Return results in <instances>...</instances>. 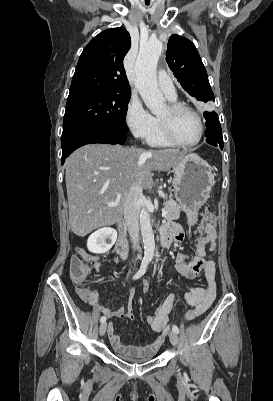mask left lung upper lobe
<instances>
[{
    "label": "left lung upper lobe",
    "mask_w": 273,
    "mask_h": 401,
    "mask_svg": "<svg viewBox=\"0 0 273 401\" xmlns=\"http://www.w3.org/2000/svg\"><path fill=\"white\" fill-rule=\"evenodd\" d=\"M166 61L182 88L198 101H214L206 69L195 45L179 35L168 41Z\"/></svg>",
    "instance_id": "obj_1"
}]
</instances>
